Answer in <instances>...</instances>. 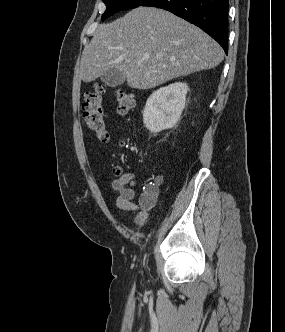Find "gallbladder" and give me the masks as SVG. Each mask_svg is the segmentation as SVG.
<instances>
[{"mask_svg":"<svg viewBox=\"0 0 285 332\" xmlns=\"http://www.w3.org/2000/svg\"><path fill=\"white\" fill-rule=\"evenodd\" d=\"M125 79V75L118 69H110L101 77V81L109 87L122 85Z\"/></svg>","mask_w":285,"mask_h":332,"instance_id":"bac80fb5","label":"gallbladder"}]
</instances>
